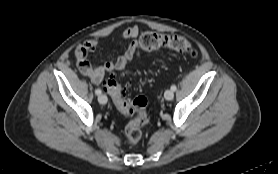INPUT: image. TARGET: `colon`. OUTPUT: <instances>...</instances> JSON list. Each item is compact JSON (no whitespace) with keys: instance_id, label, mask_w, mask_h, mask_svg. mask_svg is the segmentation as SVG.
Segmentation results:
<instances>
[{"instance_id":"obj_1","label":"colon","mask_w":278,"mask_h":174,"mask_svg":"<svg viewBox=\"0 0 278 174\" xmlns=\"http://www.w3.org/2000/svg\"><path fill=\"white\" fill-rule=\"evenodd\" d=\"M139 44L144 50L148 51L164 47L192 57H195L197 54L192 44L186 38L175 34L145 32L141 35ZM105 88L116 107L122 113L135 115L134 119L125 128V137L129 144H136L141 138L142 127L149 121L147 99L140 96L131 101L127 100L125 87L113 75L105 82Z\"/></svg>"}]
</instances>
